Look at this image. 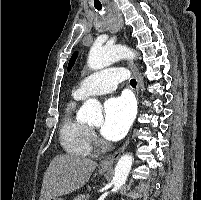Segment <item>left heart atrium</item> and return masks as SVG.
I'll list each match as a JSON object with an SVG mask.
<instances>
[{
  "instance_id": "obj_1",
  "label": "left heart atrium",
  "mask_w": 201,
  "mask_h": 200,
  "mask_svg": "<svg viewBox=\"0 0 201 200\" xmlns=\"http://www.w3.org/2000/svg\"><path fill=\"white\" fill-rule=\"evenodd\" d=\"M132 103L126 97L109 99L104 106L101 134L108 140L118 141L128 132L133 121Z\"/></svg>"
}]
</instances>
